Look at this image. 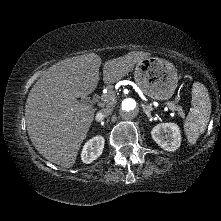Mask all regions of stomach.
I'll use <instances>...</instances> for the list:
<instances>
[{
	"label": "stomach",
	"mask_w": 221,
	"mask_h": 221,
	"mask_svg": "<svg viewBox=\"0 0 221 221\" xmlns=\"http://www.w3.org/2000/svg\"><path fill=\"white\" fill-rule=\"evenodd\" d=\"M135 82L151 99L168 100L178 85L175 66L158 57H147L136 64Z\"/></svg>",
	"instance_id": "obj_1"
}]
</instances>
